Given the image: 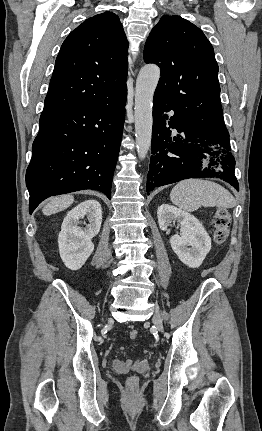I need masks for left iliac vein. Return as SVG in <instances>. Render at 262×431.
<instances>
[{
	"label": "left iliac vein",
	"mask_w": 262,
	"mask_h": 431,
	"mask_svg": "<svg viewBox=\"0 0 262 431\" xmlns=\"http://www.w3.org/2000/svg\"><path fill=\"white\" fill-rule=\"evenodd\" d=\"M153 323L159 331L161 332L163 331V322H162L161 315L158 311H155V314L153 317Z\"/></svg>",
	"instance_id": "1"
}]
</instances>
